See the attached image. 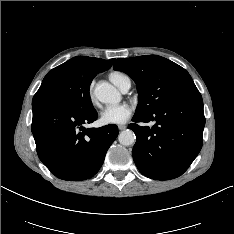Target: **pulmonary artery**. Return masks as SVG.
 I'll return each mask as SVG.
<instances>
[{"instance_id": "pulmonary-artery-1", "label": "pulmonary artery", "mask_w": 234, "mask_h": 234, "mask_svg": "<svg viewBox=\"0 0 234 234\" xmlns=\"http://www.w3.org/2000/svg\"><path fill=\"white\" fill-rule=\"evenodd\" d=\"M129 88H130V87H126V88H124L122 91H123V92H127Z\"/></svg>"}]
</instances>
